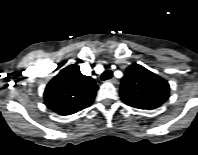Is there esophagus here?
Returning <instances> with one entry per match:
<instances>
[{"label": "esophagus", "mask_w": 198, "mask_h": 155, "mask_svg": "<svg viewBox=\"0 0 198 155\" xmlns=\"http://www.w3.org/2000/svg\"><path fill=\"white\" fill-rule=\"evenodd\" d=\"M109 82H111V83H113V84H116L117 83V79L116 78H111L110 80H109Z\"/></svg>", "instance_id": "obj_1"}]
</instances>
